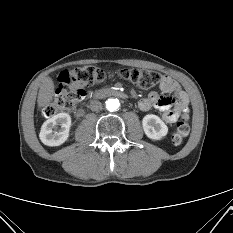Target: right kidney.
Masks as SVG:
<instances>
[{"label": "right kidney", "instance_id": "1", "mask_svg": "<svg viewBox=\"0 0 233 233\" xmlns=\"http://www.w3.org/2000/svg\"><path fill=\"white\" fill-rule=\"evenodd\" d=\"M70 126V115L59 113L43 123L39 137L47 146H59L68 139Z\"/></svg>", "mask_w": 233, "mask_h": 233}]
</instances>
